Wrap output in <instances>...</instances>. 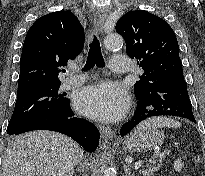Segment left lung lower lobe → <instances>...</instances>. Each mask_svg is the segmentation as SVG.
Returning a JSON list of instances; mask_svg holds the SVG:
<instances>
[{
	"label": "left lung lower lobe",
	"instance_id": "1",
	"mask_svg": "<svg viewBox=\"0 0 205 176\" xmlns=\"http://www.w3.org/2000/svg\"><path fill=\"white\" fill-rule=\"evenodd\" d=\"M137 98L139 103L135 114L119 129V136L126 135L140 122L155 116H178L196 123L185 81L162 82Z\"/></svg>",
	"mask_w": 205,
	"mask_h": 176
}]
</instances>
